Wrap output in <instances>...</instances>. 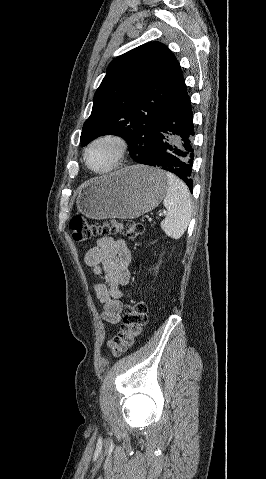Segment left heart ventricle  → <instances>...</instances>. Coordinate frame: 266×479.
<instances>
[{
  "mask_svg": "<svg viewBox=\"0 0 266 479\" xmlns=\"http://www.w3.org/2000/svg\"><path fill=\"white\" fill-rule=\"evenodd\" d=\"M114 156V146L104 143L97 145L91 150L89 153V162L96 169H106L112 164Z\"/></svg>",
  "mask_w": 266,
  "mask_h": 479,
  "instance_id": "b2bd125f",
  "label": "left heart ventricle"
}]
</instances>
